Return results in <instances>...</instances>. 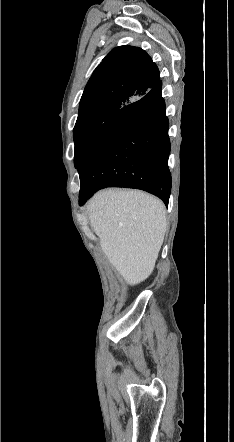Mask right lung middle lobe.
<instances>
[{
	"instance_id": "dd1d6c3e",
	"label": "right lung middle lobe",
	"mask_w": 234,
	"mask_h": 442,
	"mask_svg": "<svg viewBox=\"0 0 234 442\" xmlns=\"http://www.w3.org/2000/svg\"><path fill=\"white\" fill-rule=\"evenodd\" d=\"M117 113L116 110L104 111L77 120L73 131L76 168L103 135Z\"/></svg>"
}]
</instances>
